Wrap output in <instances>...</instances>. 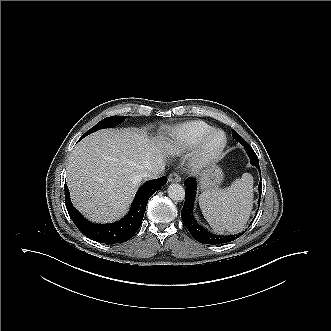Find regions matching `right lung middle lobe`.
<instances>
[{
  "mask_svg": "<svg viewBox=\"0 0 331 331\" xmlns=\"http://www.w3.org/2000/svg\"><path fill=\"white\" fill-rule=\"evenodd\" d=\"M127 118V116H111V117H107L105 119H103L102 121H100L99 123H97L94 127H92L90 130H88L83 136H87L99 129H103V128H110L114 125H117L121 122H123L125 119Z\"/></svg>",
  "mask_w": 331,
  "mask_h": 331,
  "instance_id": "1",
  "label": "right lung middle lobe"
}]
</instances>
